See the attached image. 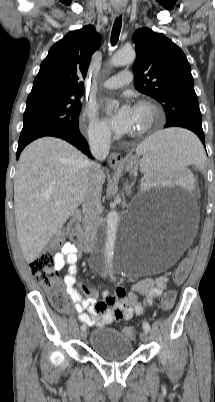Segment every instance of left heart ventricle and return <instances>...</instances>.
Segmentation results:
<instances>
[{
	"instance_id": "1",
	"label": "left heart ventricle",
	"mask_w": 215,
	"mask_h": 402,
	"mask_svg": "<svg viewBox=\"0 0 215 402\" xmlns=\"http://www.w3.org/2000/svg\"><path fill=\"white\" fill-rule=\"evenodd\" d=\"M148 114L146 110L134 108V123L130 133L139 131L147 122Z\"/></svg>"
}]
</instances>
